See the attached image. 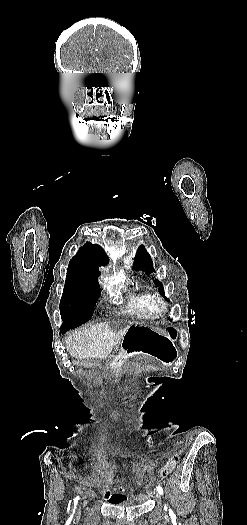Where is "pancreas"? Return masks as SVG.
Instances as JSON below:
<instances>
[{"label":"pancreas","mask_w":247,"mask_h":525,"mask_svg":"<svg viewBox=\"0 0 247 525\" xmlns=\"http://www.w3.org/2000/svg\"><path fill=\"white\" fill-rule=\"evenodd\" d=\"M120 355H123V352H120ZM118 358V355L111 356V359ZM119 359H124V356H119Z\"/></svg>","instance_id":"pancreas-1"}]
</instances>
